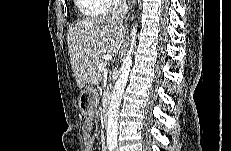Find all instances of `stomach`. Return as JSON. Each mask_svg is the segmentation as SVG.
<instances>
[{"label": "stomach", "mask_w": 231, "mask_h": 151, "mask_svg": "<svg viewBox=\"0 0 231 151\" xmlns=\"http://www.w3.org/2000/svg\"><path fill=\"white\" fill-rule=\"evenodd\" d=\"M98 100L97 91L92 86H86L79 95V108L83 114H90L94 111Z\"/></svg>", "instance_id": "1"}]
</instances>
